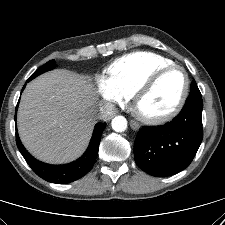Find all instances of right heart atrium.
<instances>
[{
    "mask_svg": "<svg viewBox=\"0 0 225 225\" xmlns=\"http://www.w3.org/2000/svg\"><path fill=\"white\" fill-rule=\"evenodd\" d=\"M96 93L106 102L121 105L124 104L127 97L118 91L107 77L99 76L96 79Z\"/></svg>",
    "mask_w": 225,
    "mask_h": 225,
    "instance_id": "d8ad5b80",
    "label": "right heart atrium"
}]
</instances>
